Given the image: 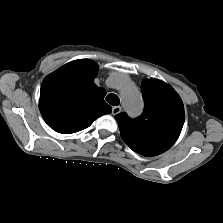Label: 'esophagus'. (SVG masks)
Here are the masks:
<instances>
[{"mask_svg": "<svg viewBox=\"0 0 223 223\" xmlns=\"http://www.w3.org/2000/svg\"><path fill=\"white\" fill-rule=\"evenodd\" d=\"M121 112V107L120 106H114L113 108H112V114L113 115H117L118 113H120Z\"/></svg>", "mask_w": 223, "mask_h": 223, "instance_id": "obj_1", "label": "esophagus"}]
</instances>
